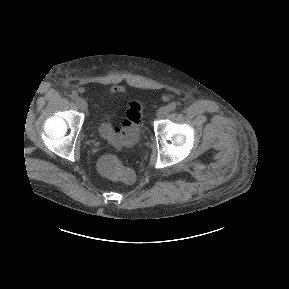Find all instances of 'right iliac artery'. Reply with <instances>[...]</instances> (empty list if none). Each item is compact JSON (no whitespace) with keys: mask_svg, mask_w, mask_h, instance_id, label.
<instances>
[{"mask_svg":"<svg viewBox=\"0 0 289 289\" xmlns=\"http://www.w3.org/2000/svg\"><path fill=\"white\" fill-rule=\"evenodd\" d=\"M78 95L77 94H75V93H72V95H71V99L72 100H74V101H77L78 100Z\"/></svg>","mask_w":289,"mask_h":289,"instance_id":"obj_1","label":"right iliac artery"}]
</instances>
